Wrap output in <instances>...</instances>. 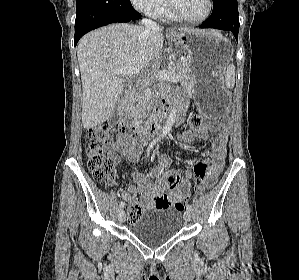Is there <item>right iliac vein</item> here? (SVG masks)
<instances>
[{"label":"right iliac vein","mask_w":299,"mask_h":280,"mask_svg":"<svg viewBox=\"0 0 299 280\" xmlns=\"http://www.w3.org/2000/svg\"><path fill=\"white\" fill-rule=\"evenodd\" d=\"M118 219L119 221L122 223L125 221L126 219V214H125V211L123 209H120L119 210V213H118Z\"/></svg>","instance_id":"obj_1"}]
</instances>
